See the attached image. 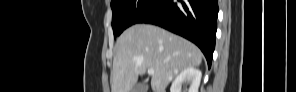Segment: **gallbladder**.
Segmentation results:
<instances>
[{"mask_svg":"<svg viewBox=\"0 0 296 92\" xmlns=\"http://www.w3.org/2000/svg\"><path fill=\"white\" fill-rule=\"evenodd\" d=\"M147 85L145 83H138L132 89V92H146Z\"/></svg>","mask_w":296,"mask_h":92,"instance_id":"obj_1","label":"gallbladder"}]
</instances>
